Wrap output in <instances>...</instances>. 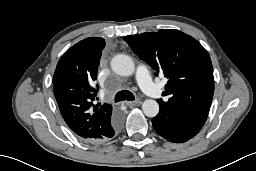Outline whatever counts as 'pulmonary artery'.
Returning a JSON list of instances; mask_svg holds the SVG:
<instances>
[{"label": "pulmonary artery", "mask_w": 256, "mask_h": 171, "mask_svg": "<svg viewBox=\"0 0 256 171\" xmlns=\"http://www.w3.org/2000/svg\"><path fill=\"white\" fill-rule=\"evenodd\" d=\"M136 78L139 86L147 95L153 99L160 98L161 91L152 81L148 68L145 65L140 64L137 67Z\"/></svg>", "instance_id": "pulmonary-artery-1"}]
</instances>
